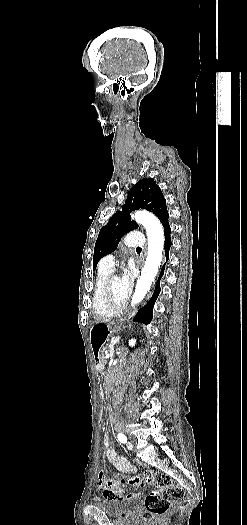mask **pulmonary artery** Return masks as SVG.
<instances>
[{
  "mask_svg": "<svg viewBox=\"0 0 247 525\" xmlns=\"http://www.w3.org/2000/svg\"><path fill=\"white\" fill-rule=\"evenodd\" d=\"M122 243L124 246L128 248H136L138 246H142L145 243V237L144 236H123ZM113 260L112 255L107 256V263L111 262Z\"/></svg>",
  "mask_w": 247,
  "mask_h": 525,
  "instance_id": "obj_1",
  "label": "pulmonary artery"
}]
</instances>
